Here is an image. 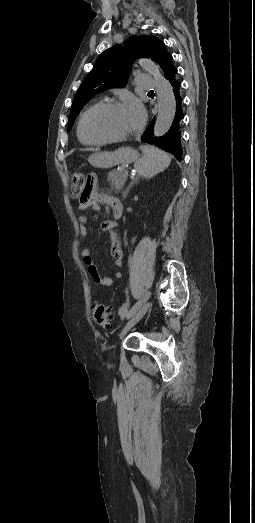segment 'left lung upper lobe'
<instances>
[{
    "instance_id": "5c2ea615",
    "label": "left lung upper lobe",
    "mask_w": 255,
    "mask_h": 523,
    "mask_svg": "<svg viewBox=\"0 0 255 523\" xmlns=\"http://www.w3.org/2000/svg\"><path fill=\"white\" fill-rule=\"evenodd\" d=\"M141 57L151 58L157 62L168 80L177 73L165 44L155 36H132L126 40L123 47L116 45L105 50L96 60L93 69L75 95L68 119V131L71 130L80 110L93 96L104 90L123 88L126 85L133 61ZM151 123L154 128V121Z\"/></svg>"
}]
</instances>
